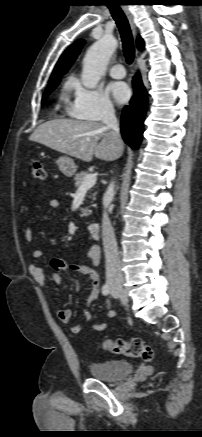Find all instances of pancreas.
Returning <instances> with one entry per match:
<instances>
[{"mask_svg":"<svg viewBox=\"0 0 202 437\" xmlns=\"http://www.w3.org/2000/svg\"><path fill=\"white\" fill-rule=\"evenodd\" d=\"M87 175H89L88 172H80V173H78V174L75 175L74 181H75V186H76L77 188H79V187L81 186V184H82L84 178H85ZM92 196H93V200H95V193H94ZM90 213H91V211L89 210L88 207L83 208V209H82L81 217L88 216Z\"/></svg>","mask_w":202,"mask_h":437,"instance_id":"1","label":"pancreas"}]
</instances>
